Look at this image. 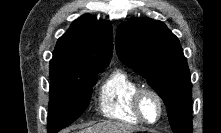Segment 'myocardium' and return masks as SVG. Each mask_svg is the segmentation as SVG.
<instances>
[{"mask_svg":"<svg viewBox=\"0 0 221 133\" xmlns=\"http://www.w3.org/2000/svg\"><path fill=\"white\" fill-rule=\"evenodd\" d=\"M146 96L153 97L156 100L159 107V115L154 121H150L149 119H147L143 111L142 102ZM132 106L134 113L140 119V121L148 125H155L159 123L165 113L164 101L161 95L156 90L149 87H141L136 91V93L133 96Z\"/></svg>","mask_w":221,"mask_h":133,"instance_id":"myocardium-1","label":"myocardium"}]
</instances>
